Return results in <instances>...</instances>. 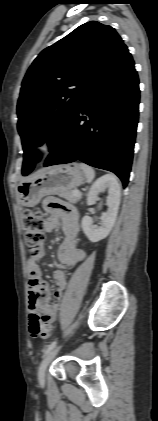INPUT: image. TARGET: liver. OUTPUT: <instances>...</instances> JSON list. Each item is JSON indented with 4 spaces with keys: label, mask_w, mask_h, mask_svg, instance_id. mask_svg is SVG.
Listing matches in <instances>:
<instances>
[{
    "label": "liver",
    "mask_w": 158,
    "mask_h": 421,
    "mask_svg": "<svg viewBox=\"0 0 158 421\" xmlns=\"http://www.w3.org/2000/svg\"><path fill=\"white\" fill-rule=\"evenodd\" d=\"M45 169L39 170L38 172H36L31 178L38 176L39 174H41ZM29 178V179H31ZM27 179V180H29Z\"/></svg>",
    "instance_id": "liver-1"
}]
</instances>
